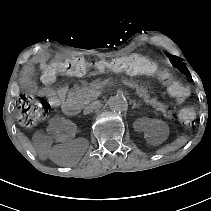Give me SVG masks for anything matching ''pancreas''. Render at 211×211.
Returning a JSON list of instances; mask_svg holds the SVG:
<instances>
[{"label":"pancreas","instance_id":"pancreas-1","mask_svg":"<svg viewBox=\"0 0 211 211\" xmlns=\"http://www.w3.org/2000/svg\"><path fill=\"white\" fill-rule=\"evenodd\" d=\"M124 83L132 88H136V92L140 97H143L146 103H149L152 107H154L157 111H161L164 117L171 119L172 113L171 111H166L167 106L164 104L157 102L156 99H150L148 95L147 89L142 86H138L136 82L124 80ZM105 90V85L101 81H95L92 85L78 88L72 90V98L70 100V105L74 109H79L83 104H88L97 94L103 93Z\"/></svg>","mask_w":211,"mask_h":211}]
</instances>
